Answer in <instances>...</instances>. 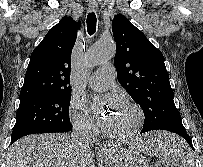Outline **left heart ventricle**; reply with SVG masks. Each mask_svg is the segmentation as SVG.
Segmentation results:
<instances>
[{"instance_id":"1","label":"left heart ventricle","mask_w":203,"mask_h":167,"mask_svg":"<svg viewBox=\"0 0 203 167\" xmlns=\"http://www.w3.org/2000/svg\"><path fill=\"white\" fill-rule=\"evenodd\" d=\"M105 118V128L118 134L126 133L131 130L136 121L134 113L125 105H121L117 110L112 111Z\"/></svg>"}]
</instances>
